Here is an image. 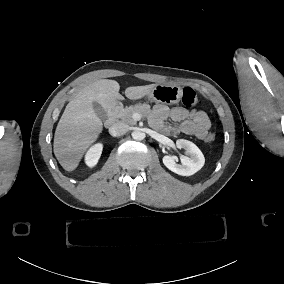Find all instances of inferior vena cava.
I'll return each mask as SVG.
<instances>
[{
  "label": "inferior vena cava",
  "mask_w": 284,
  "mask_h": 284,
  "mask_svg": "<svg viewBox=\"0 0 284 284\" xmlns=\"http://www.w3.org/2000/svg\"><path fill=\"white\" fill-rule=\"evenodd\" d=\"M129 130V125L124 122H117L109 128V133L113 137L121 136Z\"/></svg>",
  "instance_id": "1"
}]
</instances>
